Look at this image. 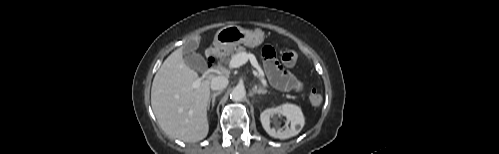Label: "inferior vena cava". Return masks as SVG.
<instances>
[{"instance_id": "obj_1", "label": "inferior vena cava", "mask_w": 499, "mask_h": 154, "mask_svg": "<svg viewBox=\"0 0 499 154\" xmlns=\"http://www.w3.org/2000/svg\"><path fill=\"white\" fill-rule=\"evenodd\" d=\"M210 85L212 90L221 91L227 87L228 79L225 76H216L211 79Z\"/></svg>"}]
</instances>
